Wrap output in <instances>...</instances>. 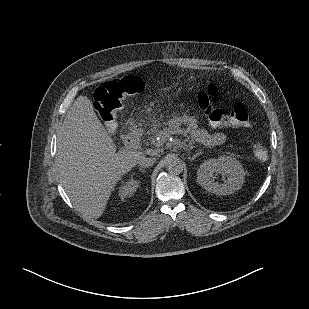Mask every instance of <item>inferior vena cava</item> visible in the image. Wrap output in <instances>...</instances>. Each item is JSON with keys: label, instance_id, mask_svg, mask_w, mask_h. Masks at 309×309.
I'll return each instance as SVG.
<instances>
[{"label": "inferior vena cava", "instance_id": "inferior-vena-cava-1", "mask_svg": "<svg viewBox=\"0 0 309 309\" xmlns=\"http://www.w3.org/2000/svg\"><path fill=\"white\" fill-rule=\"evenodd\" d=\"M155 161H156V158L143 156L139 159L138 164L142 168H148L152 166L155 163Z\"/></svg>", "mask_w": 309, "mask_h": 309}]
</instances>
